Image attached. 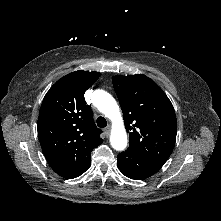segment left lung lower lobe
Wrapping results in <instances>:
<instances>
[{
    "label": "left lung lower lobe",
    "instance_id": "0a47b994",
    "mask_svg": "<svg viewBox=\"0 0 221 221\" xmlns=\"http://www.w3.org/2000/svg\"><path fill=\"white\" fill-rule=\"evenodd\" d=\"M117 166L126 177L143 180L155 174L163 164L152 161L143 155L127 149L118 154Z\"/></svg>",
    "mask_w": 221,
    "mask_h": 221
}]
</instances>
